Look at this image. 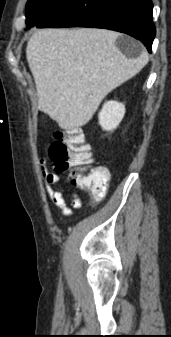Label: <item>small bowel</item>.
<instances>
[{"label":"small bowel","mask_w":171,"mask_h":337,"mask_svg":"<svg viewBox=\"0 0 171 337\" xmlns=\"http://www.w3.org/2000/svg\"><path fill=\"white\" fill-rule=\"evenodd\" d=\"M39 169L45 183V189L49 200L53 205L58 207L63 216L70 217L71 209H79L82 206V199L77 193L72 194V199L69 207L64 198L63 192L59 189L61 177L57 173L50 172L47 168V159L45 157L39 158Z\"/></svg>","instance_id":"c3829d8e"}]
</instances>
